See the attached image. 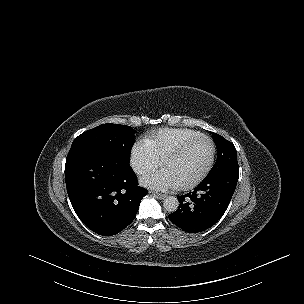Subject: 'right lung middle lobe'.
Listing matches in <instances>:
<instances>
[{
    "label": "right lung middle lobe",
    "mask_w": 304,
    "mask_h": 304,
    "mask_svg": "<svg viewBox=\"0 0 304 304\" xmlns=\"http://www.w3.org/2000/svg\"><path fill=\"white\" fill-rule=\"evenodd\" d=\"M132 127L119 124H102L79 135L72 147L95 146L110 151L118 166H130L131 148L135 142Z\"/></svg>",
    "instance_id": "dd1d6c3e"
}]
</instances>
